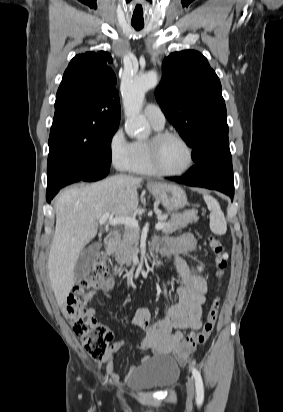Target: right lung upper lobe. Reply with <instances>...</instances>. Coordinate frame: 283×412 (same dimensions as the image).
<instances>
[{"label": "right lung upper lobe", "instance_id": "right-lung-upper-lobe-1", "mask_svg": "<svg viewBox=\"0 0 283 412\" xmlns=\"http://www.w3.org/2000/svg\"><path fill=\"white\" fill-rule=\"evenodd\" d=\"M111 62L104 51L76 55L57 91L54 118L78 115L101 129H117L120 101L115 74L108 66Z\"/></svg>", "mask_w": 283, "mask_h": 412}]
</instances>
